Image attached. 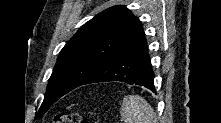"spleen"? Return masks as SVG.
Listing matches in <instances>:
<instances>
[{
  "mask_svg": "<svg viewBox=\"0 0 221 123\" xmlns=\"http://www.w3.org/2000/svg\"><path fill=\"white\" fill-rule=\"evenodd\" d=\"M120 114L124 123H156L153 108L139 95L124 96Z\"/></svg>",
  "mask_w": 221,
  "mask_h": 123,
  "instance_id": "3e777b00",
  "label": "spleen"
}]
</instances>
